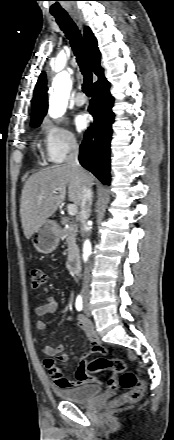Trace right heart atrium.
Here are the masks:
<instances>
[{
    "mask_svg": "<svg viewBox=\"0 0 174 440\" xmlns=\"http://www.w3.org/2000/svg\"><path fill=\"white\" fill-rule=\"evenodd\" d=\"M42 129L44 155L49 163L62 162L70 152L77 149V137L64 125L45 119Z\"/></svg>",
    "mask_w": 174,
    "mask_h": 440,
    "instance_id": "d8ad5b80",
    "label": "right heart atrium"
}]
</instances>
